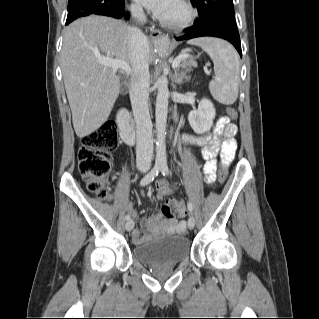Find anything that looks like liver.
I'll use <instances>...</instances> for the list:
<instances>
[{
    "mask_svg": "<svg viewBox=\"0 0 319 319\" xmlns=\"http://www.w3.org/2000/svg\"><path fill=\"white\" fill-rule=\"evenodd\" d=\"M129 26L98 15L81 18L64 33L61 68L72 122L80 138L104 124L120 91L116 70L97 62L99 57L131 61Z\"/></svg>",
    "mask_w": 319,
    "mask_h": 319,
    "instance_id": "6515ba94",
    "label": "liver"
}]
</instances>
